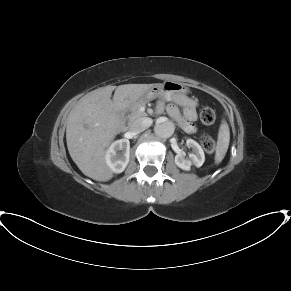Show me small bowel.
Listing matches in <instances>:
<instances>
[{"instance_id":"small-bowel-1","label":"small bowel","mask_w":291,"mask_h":291,"mask_svg":"<svg viewBox=\"0 0 291 291\" xmlns=\"http://www.w3.org/2000/svg\"><path fill=\"white\" fill-rule=\"evenodd\" d=\"M179 107L183 108L182 112ZM196 108V101L184 95H176L167 105L166 111L182 130L188 134H193L197 130L196 126L193 124V120L196 117Z\"/></svg>"}]
</instances>
